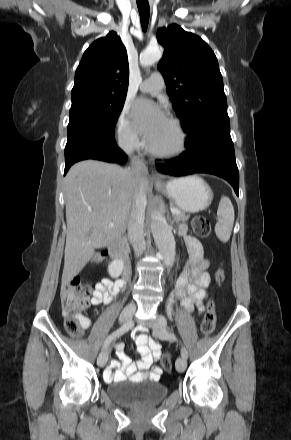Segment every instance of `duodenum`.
Instances as JSON below:
<instances>
[{
	"mask_svg": "<svg viewBox=\"0 0 291 440\" xmlns=\"http://www.w3.org/2000/svg\"><path fill=\"white\" fill-rule=\"evenodd\" d=\"M110 254L114 262L121 268L122 281L129 277V267L126 262V242L123 239L114 240L109 246Z\"/></svg>",
	"mask_w": 291,
	"mask_h": 440,
	"instance_id": "1",
	"label": "duodenum"
}]
</instances>
